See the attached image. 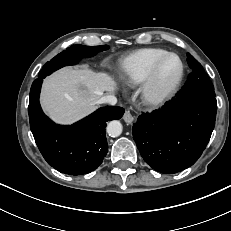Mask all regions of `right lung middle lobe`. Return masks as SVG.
<instances>
[{"instance_id": "obj_1", "label": "right lung middle lobe", "mask_w": 231, "mask_h": 231, "mask_svg": "<svg viewBox=\"0 0 231 231\" xmlns=\"http://www.w3.org/2000/svg\"><path fill=\"white\" fill-rule=\"evenodd\" d=\"M108 48V45H72L47 62L39 72L38 77L45 78L61 67L77 64L81 58L94 56L97 52L107 50Z\"/></svg>"}]
</instances>
